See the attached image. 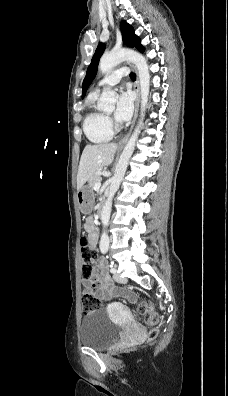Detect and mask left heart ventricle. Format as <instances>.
<instances>
[{
	"mask_svg": "<svg viewBox=\"0 0 228 396\" xmlns=\"http://www.w3.org/2000/svg\"><path fill=\"white\" fill-rule=\"evenodd\" d=\"M108 114H109V115H111V114H112V112H109Z\"/></svg>",
	"mask_w": 228,
	"mask_h": 396,
	"instance_id": "left-heart-ventricle-1",
	"label": "left heart ventricle"
}]
</instances>
